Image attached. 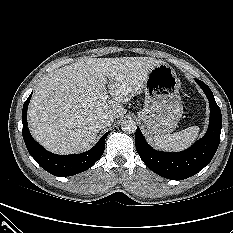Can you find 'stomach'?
I'll list each match as a JSON object with an SVG mask.
<instances>
[{
	"label": "stomach",
	"instance_id": "obj_1",
	"mask_svg": "<svg viewBox=\"0 0 233 233\" xmlns=\"http://www.w3.org/2000/svg\"><path fill=\"white\" fill-rule=\"evenodd\" d=\"M180 83L175 70L166 63L153 67L144 84L145 106L139 112L151 136L172 132L183 114Z\"/></svg>",
	"mask_w": 233,
	"mask_h": 233
}]
</instances>
